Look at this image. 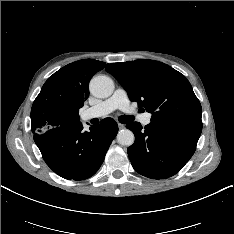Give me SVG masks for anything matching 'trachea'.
Segmentation results:
<instances>
[{
    "mask_svg": "<svg viewBox=\"0 0 234 234\" xmlns=\"http://www.w3.org/2000/svg\"><path fill=\"white\" fill-rule=\"evenodd\" d=\"M133 120H134V117L129 116V115H124V116L119 117V122L123 124L130 123Z\"/></svg>",
    "mask_w": 234,
    "mask_h": 234,
    "instance_id": "3493384b",
    "label": "trachea"
}]
</instances>
